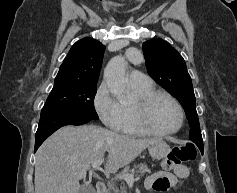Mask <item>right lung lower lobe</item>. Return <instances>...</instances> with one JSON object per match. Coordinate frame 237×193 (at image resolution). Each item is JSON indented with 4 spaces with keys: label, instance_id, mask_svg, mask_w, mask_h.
I'll list each match as a JSON object with an SVG mask.
<instances>
[{
    "label": "right lung lower lobe",
    "instance_id": "1",
    "mask_svg": "<svg viewBox=\"0 0 237 193\" xmlns=\"http://www.w3.org/2000/svg\"><path fill=\"white\" fill-rule=\"evenodd\" d=\"M92 119L78 118L64 113L42 110L35 139V151L53 132L65 125H82Z\"/></svg>",
    "mask_w": 237,
    "mask_h": 193
}]
</instances>
